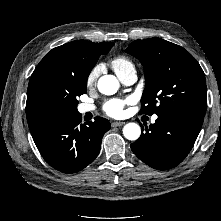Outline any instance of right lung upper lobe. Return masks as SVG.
Masks as SVG:
<instances>
[{"label":"right lung upper lobe","mask_w":221,"mask_h":221,"mask_svg":"<svg viewBox=\"0 0 221 221\" xmlns=\"http://www.w3.org/2000/svg\"><path fill=\"white\" fill-rule=\"evenodd\" d=\"M112 44L72 41L49 51L37 65L29 81L26 102L27 120L56 111L55 104L58 97L68 91L64 77L77 58Z\"/></svg>","instance_id":"obj_1"}]
</instances>
